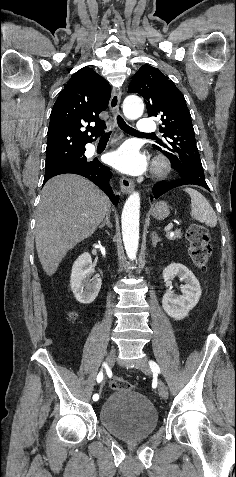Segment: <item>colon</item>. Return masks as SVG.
<instances>
[{
	"mask_svg": "<svg viewBox=\"0 0 236 477\" xmlns=\"http://www.w3.org/2000/svg\"><path fill=\"white\" fill-rule=\"evenodd\" d=\"M186 238L189 243L188 253L192 262L198 267L205 266L211 255V246L207 229L202 225H192L187 230ZM69 317L74 319L76 314L74 312H70ZM109 385L114 390L133 389V385L121 377L111 378Z\"/></svg>",
	"mask_w": 236,
	"mask_h": 477,
	"instance_id": "1",
	"label": "colon"
}]
</instances>
